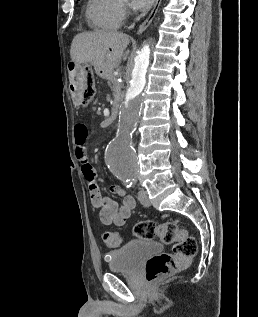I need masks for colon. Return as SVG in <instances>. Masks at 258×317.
I'll use <instances>...</instances> for the list:
<instances>
[{"instance_id":"1","label":"colon","mask_w":258,"mask_h":317,"mask_svg":"<svg viewBox=\"0 0 258 317\" xmlns=\"http://www.w3.org/2000/svg\"><path fill=\"white\" fill-rule=\"evenodd\" d=\"M95 94V80L91 72H84L79 96L83 104L89 103ZM134 234L139 239L159 238L162 243L171 245V252L161 253L149 259L145 266L146 279L156 282L172 272L183 268L197 253V242L176 221L156 223L141 221L134 227ZM105 244L117 248L122 244V235L116 231H108L103 235Z\"/></svg>"}]
</instances>
